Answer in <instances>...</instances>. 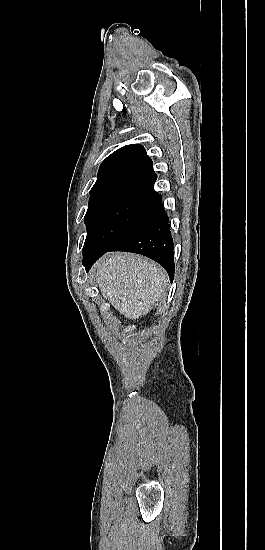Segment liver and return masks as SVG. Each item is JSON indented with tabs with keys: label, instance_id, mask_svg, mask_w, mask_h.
Returning <instances> with one entry per match:
<instances>
[{
	"label": "liver",
	"instance_id": "obj_1",
	"mask_svg": "<svg viewBox=\"0 0 265 550\" xmlns=\"http://www.w3.org/2000/svg\"><path fill=\"white\" fill-rule=\"evenodd\" d=\"M92 276L103 297L132 320L149 313L168 281L160 266L140 255L127 253L104 255L94 265Z\"/></svg>",
	"mask_w": 265,
	"mask_h": 550
}]
</instances>
